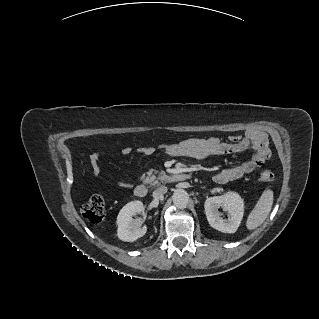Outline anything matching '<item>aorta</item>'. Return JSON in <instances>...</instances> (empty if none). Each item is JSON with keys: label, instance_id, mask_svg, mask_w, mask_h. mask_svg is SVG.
Wrapping results in <instances>:
<instances>
[{"label": "aorta", "instance_id": "1", "mask_svg": "<svg viewBox=\"0 0 319 319\" xmlns=\"http://www.w3.org/2000/svg\"><path fill=\"white\" fill-rule=\"evenodd\" d=\"M172 200L177 208L184 209L189 203V195L185 190L177 189L173 193Z\"/></svg>", "mask_w": 319, "mask_h": 319}]
</instances>
